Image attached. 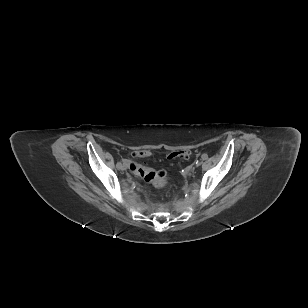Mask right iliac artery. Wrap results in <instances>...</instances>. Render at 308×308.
I'll return each instance as SVG.
<instances>
[{
    "instance_id": "1",
    "label": "right iliac artery",
    "mask_w": 308,
    "mask_h": 308,
    "mask_svg": "<svg viewBox=\"0 0 308 308\" xmlns=\"http://www.w3.org/2000/svg\"><path fill=\"white\" fill-rule=\"evenodd\" d=\"M121 164V162H118L116 166H119Z\"/></svg>"
}]
</instances>
